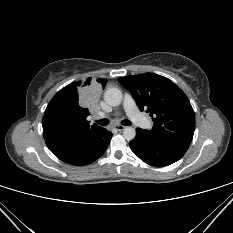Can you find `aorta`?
<instances>
[{"instance_id":"1","label":"aorta","mask_w":233,"mask_h":233,"mask_svg":"<svg viewBox=\"0 0 233 233\" xmlns=\"http://www.w3.org/2000/svg\"><path fill=\"white\" fill-rule=\"evenodd\" d=\"M123 99L122 92L117 88H108L104 93V100L110 106H118ZM123 136L126 140L131 141L136 136V131L132 127H126L123 130Z\"/></svg>"}]
</instances>
